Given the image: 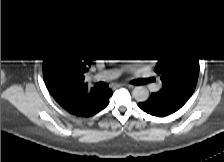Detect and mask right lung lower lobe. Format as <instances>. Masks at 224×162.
Here are the masks:
<instances>
[{
    "instance_id": "1",
    "label": "right lung lower lobe",
    "mask_w": 224,
    "mask_h": 162,
    "mask_svg": "<svg viewBox=\"0 0 224 162\" xmlns=\"http://www.w3.org/2000/svg\"><path fill=\"white\" fill-rule=\"evenodd\" d=\"M108 103H109V100H108L107 104H106L102 109H104V108L108 105ZM102 109H101V110H102Z\"/></svg>"
}]
</instances>
